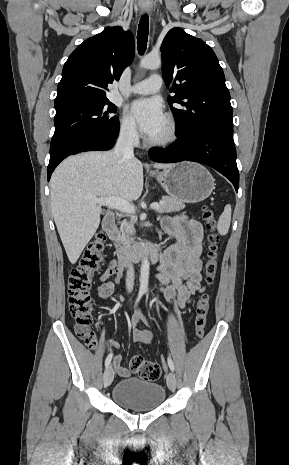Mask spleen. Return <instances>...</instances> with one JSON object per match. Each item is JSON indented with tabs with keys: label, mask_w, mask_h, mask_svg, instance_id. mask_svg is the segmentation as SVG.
<instances>
[{
	"label": "spleen",
	"mask_w": 289,
	"mask_h": 465,
	"mask_svg": "<svg viewBox=\"0 0 289 465\" xmlns=\"http://www.w3.org/2000/svg\"><path fill=\"white\" fill-rule=\"evenodd\" d=\"M231 222V205L227 204L224 208L223 213L220 215L217 229L220 235H226L229 231Z\"/></svg>",
	"instance_id": "3e777b00"
}]
</instances>
